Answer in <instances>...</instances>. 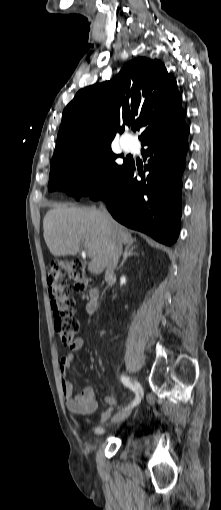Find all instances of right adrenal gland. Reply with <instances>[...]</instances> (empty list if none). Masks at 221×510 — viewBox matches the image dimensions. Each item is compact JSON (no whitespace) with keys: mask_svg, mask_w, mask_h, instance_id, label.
Instances as JSON below:
<instances>
[{"mask_svg":"<svg viewBox=\"0 0 221 510\" xmlns=\"http://www.w3.org/2000/svg\"><path fill=\"white\" fill-rule=\"evenodd\" d=\"M136 248H137V246L134 245L133 243H130V244L126 245L124 253H123V260H122V262H121L119 267L123 266V264L125 263V261L127 260L128 257H131L133 255L134 256L138 255V253L135 251Z\"/></svg>","mask_w":221,"mask_h":510,"instance_id":"1","label":"right adrenal gland"}]
</instances>
